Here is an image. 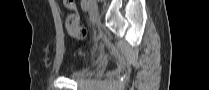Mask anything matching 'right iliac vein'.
I'll use <instances>...</instances> for the list:
<instances>
[{
    "label": "right iliac vein",
    "instance_id": "63e3f726",
    "mask_svg": "<svg viewBox=\"0 0 209 90\" xmlns=\"http://www.w3.org/2000/svg\"><path fill=\"white\" fill-rule=\"evenodd\" d=\"M89 12H90V20L91 23L94 25L98 22V8L94 1L89 2Z\"/></svg>",
    "mask_w": 209,
    "mask_h": 90
}]
</instances>
